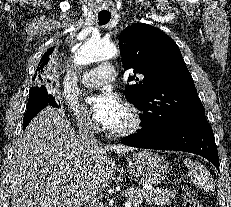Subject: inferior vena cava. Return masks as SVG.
I'll return each instance as SVG.
<instances>
[{
    "label": "inferior vena cava",
    "mask_w": 231,
    "mask_h": 207,
    "mask_svg": "<svg viewBox=\"0 0 231 207\" xmlns=\"http://www.w3.org/2000/svg\"><path fill=\"white\" fill-rule=\"evenodd\" d=\"M78 138L84 147L95 148L98 145L95 138L94 124L88 117L83 118L79 124Z\"/></svg>",
    "instance_id": "obj_1"
}]
</instances>
